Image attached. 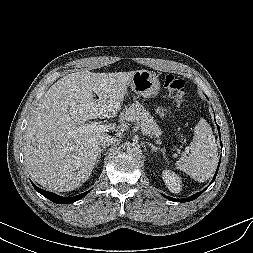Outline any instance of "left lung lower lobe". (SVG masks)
Masks as SVG:
<instances>
[{"label": "left lung lower lobe", "instance_id": "0a47b994", "mask_svg": "<svg viewBox=\"0 0 253 253\" xmlns=\"http://www.w3.org/2000/svg\"><path fill=\"white\" fill-rule=\"evenodd\" d=\"M217 127H218V131H219V136H220L219 126L217 125ZM219 165H220V163H219ZM219 165H218L217 171H216V173L214 175V178H213V180H212L211 183H213V181L215 180V177H216L218 169H219ZM206 189L207 188H205L204 190H202V191H200V192H198V193H196V194H194V195H192V196H190L188 198H185V199H174V198H171V197H168V196H165V195H163V196L166 197V198H168L169 200L175 201V202H188V201H192V200L198 198Z\"/></svg>", "mask_w": 253, "mask_h": 253}]
</instances>
